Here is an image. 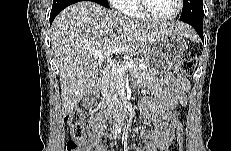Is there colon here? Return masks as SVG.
Returning a JSON list of instances; mask_svg holds the SVG:
<instances>
[{
    "mask_svg": "<svg viewBox=\"0 0 231 151\" xmlns=\"http://www.w3.org/2000/svg\"><path fill=\"white\" fill-rule=\"evenodd\" d=\"M196 66V57L193 54L182 56L176 63V70L184 75H191ZM69 126L72 141L67 144V151H79V146L86 140V126L84 122V113L80 109H74L66 117ZM170 142L166 151H182L183 129L181 116L173 111L170 120Z\"/></svg>",
    "mask_w": 231,
    "mask_h": 151,
    "instance_id": "colon-1",
    "label": "colon"
}]
</instances>
